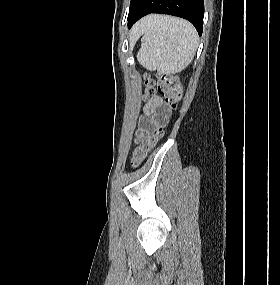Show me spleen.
<instances>
[{
    "label": "spleen",
    "mask_w": 280,
    "mask_h": 285,
    "mask_svg": "<svg viewBox=\"0 0 280 285\" xmlns=\"http://www.w3.org/2000/svg\"><path fill=\"white\" fill-rule=\"evenodd\" d=\"M139 30L143 33V38L137 59L150 71L177 73L195 55L198 35L195 28L184 19L153 15Z\"/></svg>",
    "instance_id": "1"
}]
</instances>
